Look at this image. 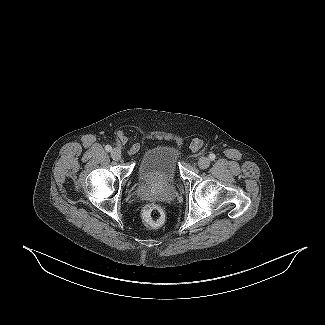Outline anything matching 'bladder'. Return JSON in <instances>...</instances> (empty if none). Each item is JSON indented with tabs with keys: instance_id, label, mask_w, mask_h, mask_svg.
Here are the masks:
<instances>
[{
	"instance_id": "obj_1",
	"label": "bladder",
	"mask_w": 325,
	"mask_h": 325,
	"mask_svg": "<svg viewBox=\"0 0 325 325\" xmlns=\"http://www.w3.org/2000/svg\"><path fill=\"white\" fill-rule=\"evenodd\" d=\"M179 152L171 145L150 149L138 164V178L148 184H171L178 175Z\"/></svg>"
}]
</instances>
